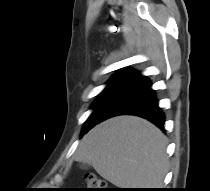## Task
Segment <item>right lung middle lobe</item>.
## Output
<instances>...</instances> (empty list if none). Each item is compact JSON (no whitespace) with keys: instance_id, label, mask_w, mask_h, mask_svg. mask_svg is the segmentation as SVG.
Masks as SVG:
<instances>
[{"instance_id":"1","label":"right lung middle lobe","mask_w":210,"mask_h":191,"mask_svg":"<svg viewBox=\"0 0 210 191\" xmlns=\"http://www.w3.org/2000/svg\"><path fill=\"white\" fill-rule=\"evenodd\" d=\"M123 73L124 72H119L114 77H112L110 79V81L108 82V86L99 94L98 99L92 105V109H94V111L92 112V114L90 115V117L86 120V122H85V124H84V126L82 128V134L81 135H84L92 127H94L95 122H96V115H97L100 107L107 100V98L109 97L112 89L114 88L115 84L120 79V77L122 76Z\"/></svg>"}]
</instances>
